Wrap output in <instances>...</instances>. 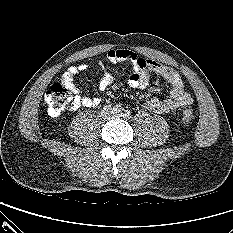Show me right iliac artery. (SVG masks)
Here are the masks:
<instances>
[{
	"mask_svg": "<svg viewBox=\"0 0 233 233\" xmlns=\"http://www.w3.org/2000/svg\"><path fill=\"white\" fill-rule=\"evenodd\" d=\"M121 106L120 105H116V106H114V111H116V112H120L121 111Z\"/></svg>",
	"mask_w": 233,
	"mask_h": 233,
	"instance_id": "right-iliac-artery-1",
	"label": "right iliac artery"
}]
</instances>
